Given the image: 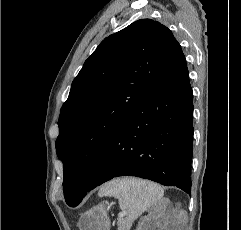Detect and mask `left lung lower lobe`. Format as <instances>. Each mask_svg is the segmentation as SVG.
<instances>
[{
    "instance_id": "left-lung-lower-lobe-1",
    "label": "left lung lower lobe",
    "mask_w": 241,
    "mask_h": 230,
    "mask_svg": "<svg viewBox=\"0 0 241 230\" xmlns=\"http://www.w3.org/2000/svg\"><path fill=\"white\" fill-rule=\"evenodd\" d=\"M193 92L185 58L142 102L101 151L85 194L118 176L191 191Z\"/></svg>"
}]
</instances>
